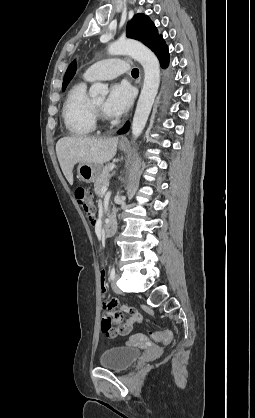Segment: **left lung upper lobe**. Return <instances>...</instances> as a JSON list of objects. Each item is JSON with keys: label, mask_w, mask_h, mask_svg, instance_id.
I'll list each match as a JSON object with an SVG mask.
<instances>
[{"label": "left lung upper lobe", "mask_w": 255, "mask_h": 418, "mask_svg": "<svg viewBox=\"0 0 255 418\" xmlns=\"http://www.w3.org/2000/svg\"><path fill=\"white\" fill-rule=\"evenodd\" d=\"M127 37L141 41L144 45L155 51L163 42L162 35L150 18L144 14H136L127 26Z\"/></svg>", "instance_id": "left-lung-upper-lobe-1"}]
</instances>
